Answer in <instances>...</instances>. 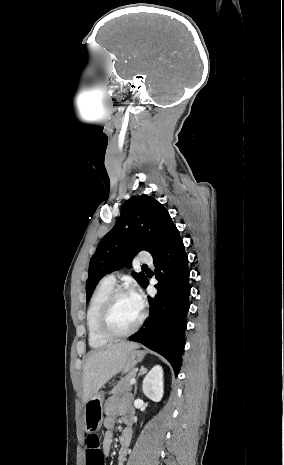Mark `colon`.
<instances>
[{
  "mask_svg": "<svg viewBox=\"0 0 284 465\" xmlns=\"http://www.w3.org/2000/svg\"><path fill=\"white\" fill-rule=\"evenodd\" d=\"M87 442L91 445H99V440L94 435H89L87 437ZM86 465H104L103 453L100 451L99 446H86Z\"/></svg>",
  "mask_w": 284,
  "mask_h": 465,
  "instance_id": "1",
  "label": "colon"
}]
</instances>
